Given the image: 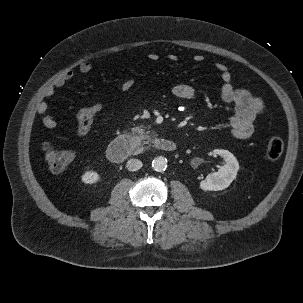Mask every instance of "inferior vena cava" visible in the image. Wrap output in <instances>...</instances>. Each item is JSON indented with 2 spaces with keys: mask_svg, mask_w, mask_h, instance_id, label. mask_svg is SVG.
<instances>
[{
  "mask_svg": "<svg viewBox=\"0 0 303 303\" xmlns=\"http://www.w3.org/2000/svg\"><path fill=\"white\" fill-rule=\"evenodd\" d=\"M143 166L142 162L138 159H130L127 162V169L129 171H137Z\"/></svg>",
  "mask_w": 303,
  "mask_h": 303,
  "instance_id": "602c4592",
  "label": "inferior vena cava"
}]
</instances>
